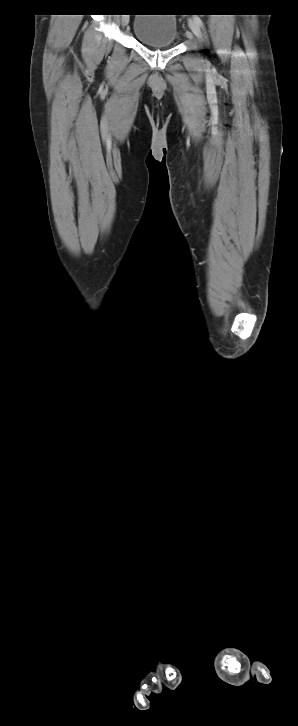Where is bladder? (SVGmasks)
Wrapping results in <instances>:
<instances>
[{"instance_id":"bladder-1","label":"bladder","mask_w":298,"mask_h":726,"mask_svg":"<svg viewBox=\"0 0 298 726\" xmlns=\"http://www.w3.org/2000/svg\"><path fill=\"white\" fill-rule=\"evenodd\" d=\"M133 35L151 48H169L178 39L177 20L172 14H137L133 23Z\"/></svg>"}]
</instances>
